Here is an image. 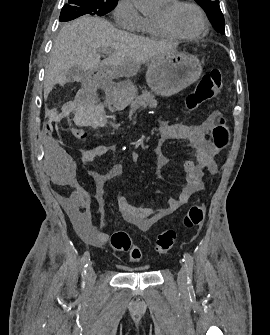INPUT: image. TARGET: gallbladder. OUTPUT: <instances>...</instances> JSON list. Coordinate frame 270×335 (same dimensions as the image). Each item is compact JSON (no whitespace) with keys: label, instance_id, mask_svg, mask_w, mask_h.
Listing matches in <instances>:
<instances>
[{"label":"gallbladder","instance_id":"obj_1","mask_svg":"<svg viewBox=\"0 0 270 335\" xmlns=\"http://www.w3.org/2000/svg\"><path fill=\"white\" fill-rule=\"evenodd\" d=\"M82 76H84V72L79 66H73V68H69L67 72L69 82H81Z\"/></svg>","mask_w":270,"mask_h":335}]
</instances>
